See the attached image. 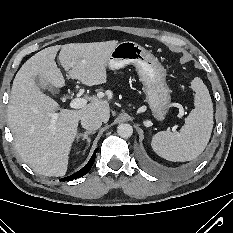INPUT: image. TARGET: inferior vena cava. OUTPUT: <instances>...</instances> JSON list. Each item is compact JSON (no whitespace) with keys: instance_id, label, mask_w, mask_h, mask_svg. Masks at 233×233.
<instances>
[{"instance_id":"602c4592","label":"inferior vena cava","mask_w":233,"mask_h":233,"mask_svg":"<svg viewBox=\"0 0 233 233\" xmlns=\"http://www.w3.org/2000/svg\"><path fill=\"white\" fill-rule=\"evenodd\" d=\"M81 125L87 130L94 131L101 127L102 120L98 115L94 113H88L82 116Z\"/></svg>"}]
</instances>
